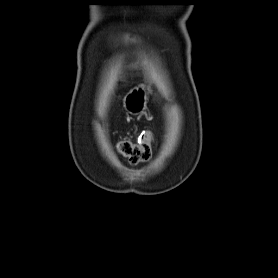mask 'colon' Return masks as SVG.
<instances>
[{"label": "colon", "instance_id": "5ec220e1", "mask_svg": "<svg viewBox=\"0 0 278 278\" xmlns=\"http://www.w3.org/2000/svg\"><path fill=\"white\" fill-rule=\"evenodd\" d=\"M152 139V134L147 131L142 133L136 142L120 141L117 148L119 153L128 158L131 163H138L147 160L150 156Z\"/></svg>", "mask_w": 278, "mask_h": 278}]
</instances>
